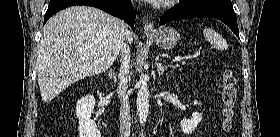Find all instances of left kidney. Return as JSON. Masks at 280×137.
I'll return each instance as SVG.
<instances>
[{
	"label": "left kidney",
	"mask_w": 280,
	"mask_h": 137,
	"mask_svg": "<svg viewBox=\"0 0 280 137\" xmlns=\"http://www.w3.org/2000/svg\"><path fill=\"white\" fill-rule=\"evenodd\" d=\"M200 105L198 101L194 100V105ZM202 120V115L198 112H193L190 119L181 120V129L185 134H191Z\"/></svg>",
	"instance_id": "1"
}]
</instances>
